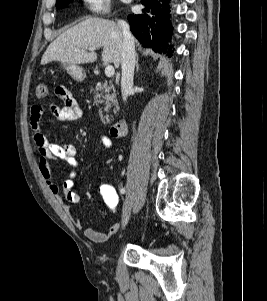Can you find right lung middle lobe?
I'll return each instance as SVG.
<instances>
[{
	"label": "right lung middle lobe",
	"mask_w": 267,
	"mask_h": 301,
	"mask_svg": "<svg viewBox=\"0 0 267 301\" xmlns=\"http://www.w3.org/2000/svg\"><path fill=\"white\" fill-rule=\"evenodd\" d=\"M73 0H57L56 2V7L57 8H64L66 7L69 3H71Z\"/></svg>",
	"instance_id": "obj_1"
}]
</instances>
